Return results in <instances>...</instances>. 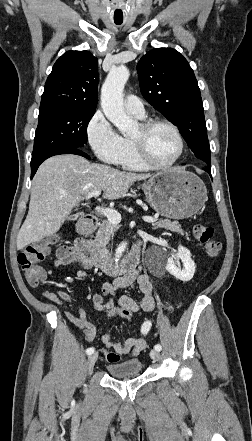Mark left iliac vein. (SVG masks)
I'll return each instance as SVG.
<instances>
[{"instance_id": "1", "label": "left iliac vein", "mask_w": 252, "mask_h": 441, "mask_svg": "<svg viewBox=\"0 0 252 441\" xmlns=\"http://www.w3.org/2000/svg\"><path fill=\"white\" fill-rule=\"evenodd\" d=\"M150 357L154 360V361H159L160 360V353L157 350H151L150 352Z\"/></svg>"}]
</instances>
